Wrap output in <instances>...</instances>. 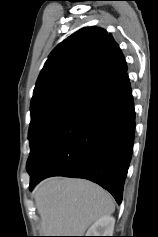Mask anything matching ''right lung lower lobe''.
<instances>
[{
    "label": "right lung lower lobe",
    "instance_id": "98d812e1",
    "mask_svg": "<svg viewBox=\"0 0 158 237\" xmlns=\"http://www.w3.org/2000/svg\"><path fill=\"white\" fill-rule=\"evenodd\" d=\"M134 135V103L125 73L44 138L27 167L30 190L48 176L85 178L108 190L120 204Z\"/></svg>",
    "mask_w": 158,
    "mask_h": 237
}]
</instances>
